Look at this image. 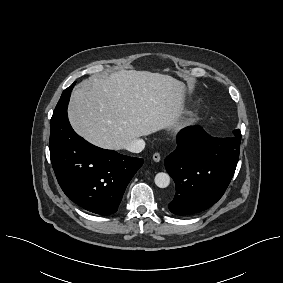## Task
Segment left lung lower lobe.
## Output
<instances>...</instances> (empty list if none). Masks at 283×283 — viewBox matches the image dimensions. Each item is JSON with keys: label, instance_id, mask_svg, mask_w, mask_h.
<instances>
[{"label": "left lung lower lobe", "instance_id": "1", "mask_svg": "<svg viewBox=\"0 0 283 283\" xmlns=\"http://www.w3.org/2000/svg\"><path fill=\"white\" fill-rule=\"evenodd\" d=\"M240 141L238 137L215 138L201 128L179 134L176 151L165 160L176 184L169 203L172 213H198L222 197L238 163Z\"/></svg>", "mask_w": 283, "mask_h": 283}]
</instances>
